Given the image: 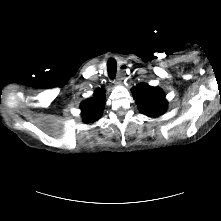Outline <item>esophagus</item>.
<instances>
[{
    "label": "esophagus",
    "instance_id": "esophagus-1",
    "mask_svg": "<svg viewBox=\"0 0 221 221\" xmlns=\"http://www.w3.org/2000/svg\"><path fill=\"white\" fill-rule=\"evenodd\" d=\"M125 70L123 69H119V74L117 76V79H116V83L118 84L122 79H123V73H124Z\"/></svg>",
    "mask_w": 221,
    "mask_h": 221
}]
</instances>
